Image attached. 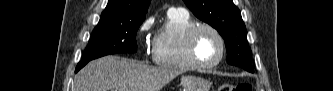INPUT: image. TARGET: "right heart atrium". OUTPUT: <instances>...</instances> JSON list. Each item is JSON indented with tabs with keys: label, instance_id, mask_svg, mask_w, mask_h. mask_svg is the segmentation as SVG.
I'll use <instances>...</instances> for the list:
<instances>
[{
	"label": "right heart atrium",
	"instance_id": "d8ad5b80",
	"mask_svg": "<svg viewBox=\"0 0 333 91\" xmlns=\"http://www.w3.org/2000/svg\"><path fill=\"white\" fill-rule=\"evenodd\" d=\"M152 25V20L151 19H146L144 20L137 28V34L139 36L145 35L151 28Z\"/></svg>",
	"mask_w": 333,
	"mask_h": 91
}]
</instances>
